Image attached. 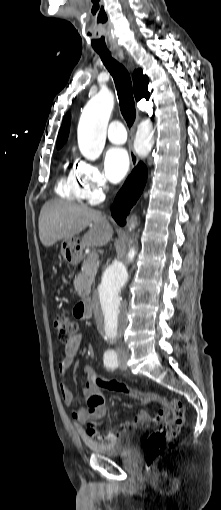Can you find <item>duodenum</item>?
Wrapping results in <instances>:
<instances>
[{
	"label": "duodenum",
	"mask_w": 221,
	"mask_h": 510,
	"mask_svg": "<svg viewBox=\"0 0 221 510\" xmlns=\"http://www.w3.org/2000/svg\"><path fill=\"white\" fill-rule=\"evenodd\" d=\"M76 309L79 315L86 319H89L92 316V304L89 300L79 302Z\"/></svg>",
	"instance_id": "1"
}]
</instances>
